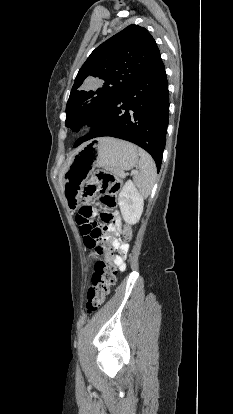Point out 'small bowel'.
Listing matches in <instances>:
<instances>
[{
  "instance_id": "small-bowel-1",
  "label": "small bowel",
  "mask_w": 233,
  "mask_h": 414,
  "mask_svg": "<svg viewBox=\"0 0 233 414\" xmlns=\"http://www.w3.org/2000/svg\"><path fill=\"white\" fill-rule=\"evenodd\" d=\"M88 207L91 211V217L94 216L95 211L90 206ZM102 218L105 222L102 231L108 235L113 236V238H111L113 245L116 248V250L119 251V253L115 257H113L112 262L115 266L119 268L120 271H124L126 268L125 254L128 249V246L123 245V243L118 239V237L121 235L123 231L121 218L117 212L108 213L107 215H103ZM90 223L93 224L92 222Z\"/></svg>"
}]
</instances>
